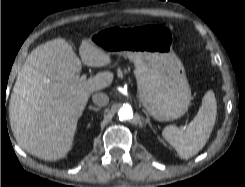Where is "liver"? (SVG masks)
Listing matches in <instances>:
<instances>
[{
  "label": "liver",
  "mask_w": 245,
  "mask_h": 187,
  "mask_svg": "<svg viewBox=\"0 0 245 187\" xmlns=\"http://www.w3.org/2000/svg\"><path fill=\"white\" fill-rule=\"evenodd\" d=\"M79 57L62 38L36 47L17 75L9 102L13 135L26 152L43 160L57 161L70 151L78 119L89 96L108 87L111 72L79 76L82 63L105 67L110 54L83 39Z\"/></svg>",
  "instance_id": "1"
}]
</instances>
